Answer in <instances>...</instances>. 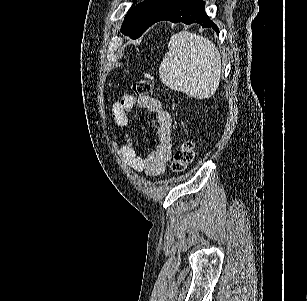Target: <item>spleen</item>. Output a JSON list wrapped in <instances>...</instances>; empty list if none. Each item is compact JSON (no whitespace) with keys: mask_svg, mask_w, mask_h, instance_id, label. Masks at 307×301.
Segmentation results:
<instances>
[{"mask_svg":"<svg viewBox=\"0 0 307 301\" xmlns=\"http://www.w3.org/2000/svg\"><path fill=\"white\" fill-rule=\"evenodd\" d=\"M160 66L161 82L194 98H210L215 94L221 74V54L214 42L181 30L173 34Z\"/></svg>","mask_w":307,"mask_h":301,"instance_id":"1","label":"spleen"}]
</instances>
